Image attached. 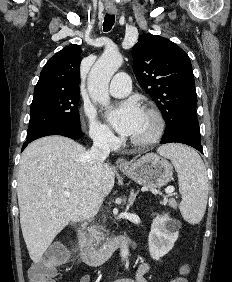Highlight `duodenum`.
Here are the masks:
<instances>
[{
	"label": "duodenum",
	"mask_w": 232,
	"mask_h": 282,
	"mask_svg": "<svg viewBox=\"0 0 232 282\" xmlns=\"http://www.w3.org/2000/svg\"><path fill=\"white\" fill-rule=\"evenodd\" d=\"M130 239L125 236L116 237L99 248H95L87 239L83 230L78 232V249L84 263L99 266L106 262L112 254L122 246L129 245Z\"/></svg>",
	"instance_id": "1"
}]
</instances>
